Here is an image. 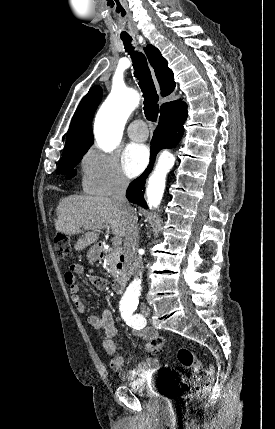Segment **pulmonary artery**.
<instances>
[{"label": "pulmonary artery", "mask_w": 275, "mask_h": 429, "mask_svg": "<svg viewBox=\"0 0 275 429\" xmlns=\"http://www.w3.org/2000/svg\"><path fill=\"white\" fill-rule=\"evenodd\" d=\"M128 136L134 141H145L148 137L147 127L142 120H134L128 127Z\"/></svg>", "instance_id": "1"}]
</instances>
